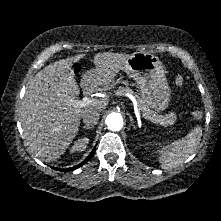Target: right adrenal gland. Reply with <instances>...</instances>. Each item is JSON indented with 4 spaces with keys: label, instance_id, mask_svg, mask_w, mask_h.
Wrapping results in <instances>:
<instances>
[{
    "label": "right adrenal gland",
    "instance_id": "right-adrenal-gland-1",
    "mask_svg": "<svg viewBox=\"0 0 221 221\" xmlns=\"http://www.w3.org/2000/svg\"><path fill=\"white\" fill-rule=\"evenodd\" d=\"M93 127L92 126H83V129H85V130H88V129H92Z\"/></svg>",
    "mask_w": 221,
    "mask_h": 221
}]
</instances>
